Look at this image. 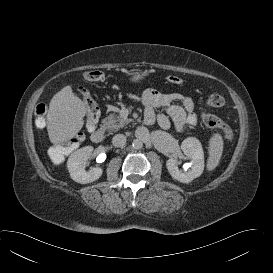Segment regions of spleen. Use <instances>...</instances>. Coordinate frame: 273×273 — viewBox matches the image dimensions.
<instances>
[{
    "label": "spleen",
    "mask_w": 273,
    "mask_h": 273,
    "mask_svg": "<svg viewBox=\"0 0 273 273\" xmlns=\"http://www.w3.org/2000/svg\"><path fill=\"white\" fill-rule=\"evenodd\" d=\"M208 150L207 169L211 171L217 167L223 152V138L219 133L213 134L210 138Z\"/></svg>",
    "instance_id": "spleen-1"
}]
</instances>
